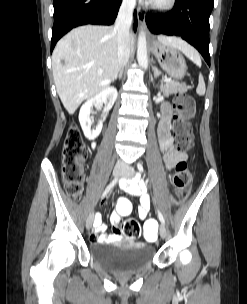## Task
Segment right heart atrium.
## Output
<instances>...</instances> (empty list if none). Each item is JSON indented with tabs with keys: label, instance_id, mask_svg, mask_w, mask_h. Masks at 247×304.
<instances>
[{
	"label": "right heart atrium",
	"instance_id": "d8ad5b80",
	"mask_svg": "<svg viewBox=\"0 0 247 304\" xmlns=\"http://www.w3.org/2000/svg\"><path fill=\"white\" fill-rule=\"evenodd\" d=\"M134 1H135V0H123V2H124L125 4H127V5H132V4H134Z\"/></svg>",
	"mask_w": 247,
	"mask_h": 304
}]
</instances>
